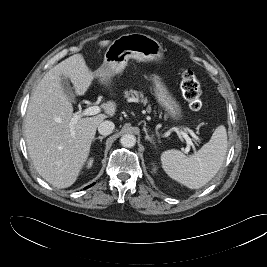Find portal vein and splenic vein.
I'll use <instances>...</instances> for the list:
<instances>
[{"label": "portal vein and splenic vein", "instance_id": "1", "mask_svg": "<svg viewBox=\"0 0 267 267\" xmlns=\"http://www.w3.org/2000/svg\"><path fill=\"white\" fill-rule=\"evenodd\" d=\"M101 111L99 106H90L83 110L80 114H75L73 118L71 119V124L77 123V121L82 117V116H91V115H96ZM188 132L190 135L195 139L199 141L198 136L190 129H188ZM186 142L188 147L185 149V152L189 151V147L193 146V143L190 138H186Z\"/></svg>", "mask_w": 267, "mask_h": 267}]
</instances>
